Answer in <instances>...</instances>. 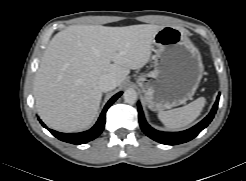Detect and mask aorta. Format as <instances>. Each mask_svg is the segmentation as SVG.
Here are the masks:
<instances>
[{
  "label": "aorta",
  "instance_id": "762f6f07",
  "mask_svg": "<svg viewBox=\"0 0 246 181\" xmlns=\"http://www.w3.org/2000/svg\"><path fill=\"white\" fill-rule=\"evenodd\" d=\"M124 101L128 104H134L137 101V92L134 89H127L124 94Z\"/></svg>",
  "mask_w": 246,
  "mask_h": 181
}]
</instances>
